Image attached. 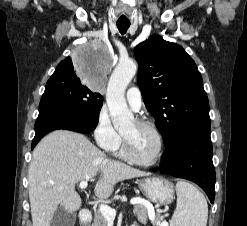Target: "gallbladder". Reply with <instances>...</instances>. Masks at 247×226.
Returning <instances> with one entry per match:
<instances>
[{"instance_id":"1","label":"gallbladder","mask_w":247,"mask_h":226,"mask_svg":"<svg viewBox=\"0 0 247 226\" xmlns=\"http://www.w3.org/2000/svg\"><path fill=\"white\" fill-rule=\"evenodd\" d=\"M76 222L75 213H68L63 207L57 208L55 211L50 226H74Z\"/></svg>"}]
</instances>
